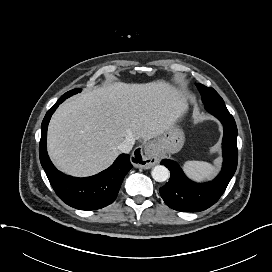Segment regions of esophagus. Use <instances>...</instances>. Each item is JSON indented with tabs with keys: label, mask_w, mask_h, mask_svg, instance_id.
<instances>
[{
	"label": "esophagus",
	"mask_w": 272,
	"mask_h": 272,
	"mask_svg": "<svg viewBox=\"0 0 272 272\" xmlns=\"http://www.w3.org/2000/svg\"><path fill=\"white\" fill-rule=\"evenodd\" d=\"M159 154L153 143H146L132 154V161L137 168L149 169L159 162Z\"/></svg>",
	"instance_id": "34e87169"
}]
</instances>
